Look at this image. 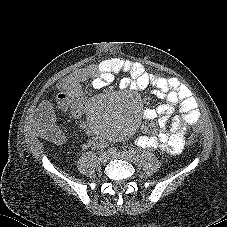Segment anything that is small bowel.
Here are the masks:
<instances>
[{"instance_id":"small-bowel-1","label":"small bowel","mask_w":227,"mask_h":227,"mask_svg":"<svg viewBox=\"0 0 227 227\" xmlns=\"http://www.w3.org/2000/svg\"><path fill=\"white\" fill-rule=\"evenodd\" d=\"M120 72L126 73L120 81L121 87L142 90L152 85L155 88L154 95L162 102L156 108L143 112V119L155 121V124L136 138V144L142 148H156L168 154H179L185 145L183 139L187 127L200 118L198 103L185 84L174 78L148 72L139 62L115 58L76 70L62 78L57 85L60 105L68 107L71 99H81L86 80L91 79L94 88L102 89ZM177 107L180 108L181 115L172 118ZM40 111L45 115L51 114V104L44 102Z\"/></svg>"}]
</instances>
